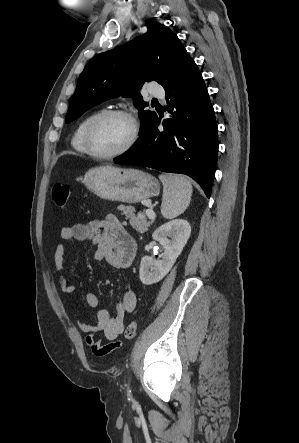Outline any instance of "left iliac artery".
<instances>
[{
	"label": "left iliac artery",
	"mask_w": 299,
	"mask_h": 443,
	"mask_svg": "<svg viewBox=\"0 0 299 443\" xmlns=\"http://www.w3.org/2000/svg\"><path fill=\"white\" fill-rule=\"evenodd\" d=\"M128 396H129V399H131V390L129 389V387H128Z\"/></svg>",
	"instance_id": "left-iliac-artery-1"
}]
</instances>
